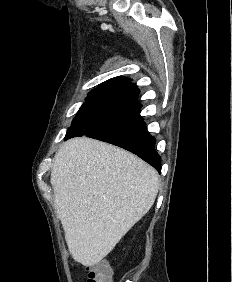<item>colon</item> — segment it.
I'll return each mask as SVG.
<instances>
[{"instance_id": "5ec220e1", "label": "colon", "mask_w": 232, "mask_h": 282, "mask_svg": "<svg viewBox=\"0 0 232 282\" xmlns=\"http://www.w3.org/2000/svg\"><path fill=\"white\" fill-rule=\"evenodd\" d=\"M86 271V282H112L111 267L105 260L99 261L86 268Z\"/></svg>"}]
</instances>
